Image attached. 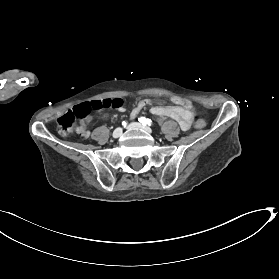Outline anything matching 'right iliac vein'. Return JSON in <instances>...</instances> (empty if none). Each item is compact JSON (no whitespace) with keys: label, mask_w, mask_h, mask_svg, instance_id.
<instances>
[{"label":"right iliac vein","mask_w":279,"mask_h":279,"mask_svg":"<svg viewBox=\"0 0 279 279\" xmlns=\"http://www.w3.org/2000/svg\"><path fill=\"white\" fill-rule=\"evenodd\" d=\"M121 134H122V128L118 127V128H116V129L113 131L112 136H113L114 138H118V137L121 136Z\"/></svg>","instance_id":"obj_1"}]
</instances>
